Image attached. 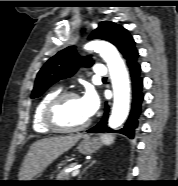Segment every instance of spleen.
Segmentation results:
<instances>
[{"label":"spleen","instance_id":"3e777b00","mask_svg":"<svg viewBox=\"0 0 178 186\" xmlns=\"http://www.w3.org/2000/svg\"><path fill=\"white\" fill-rule=\"evenodd\" d=\"M114 136L111 135H102L101 136V140L103 142L104 145L109 146L114 142Z\"/></svg>","mask_w":178,"mask_h":186}]
</instances>
